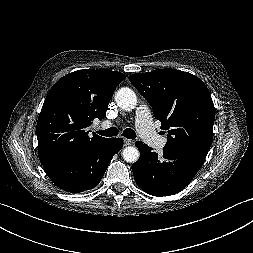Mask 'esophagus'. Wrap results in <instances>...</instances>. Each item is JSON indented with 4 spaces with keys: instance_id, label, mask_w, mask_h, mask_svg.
Listing matches in <instances>:
<instances>
[{
    "instance_id": "34e87169",
    "label": "esophagus",
    "mask_w": 253,
    "mask_h": 253,
    "mask_svg": "<svg viewBox=\"0 0 253 253\" xmlns=\"http://www.w3.org/2000/svg\"><path fill=\"white\" fill-rule=\"evenodd\" d=\"M133 144H134L133 140L127 138L124 139V146H130Z\"/></svg>"
}]
</instances>
